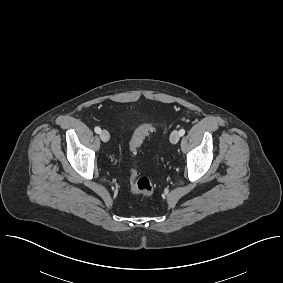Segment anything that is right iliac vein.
Returning a JSON list of instances; mask_svg holds the SVG:
<instances>
[{
    "instance_id": "1",
    "label": "right iliac vein",
    "mask_w": 283,
    "mask_h": 283,
    "mask_svg": "<svg viewBox=\"0 0 283 283\" xmlns=\"http://www.w3.org/2000/svg\"><path fill=\"white\" fill-rule=\"evenodd\" d=\"M100 138L103 142H108L110 139V134L107 130H102L100 132Z\"/></svg>"
}]
</instances>
